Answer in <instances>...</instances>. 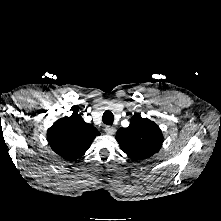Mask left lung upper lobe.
<instances>
[{"instance_id": "obj_1", "label": "left lung upper lobe", "mask_w": 221, "mask_h": 221, "mask_svg": "<svg viewBox=\"0 0 221 221\" xmlns=\"http://www.w3.org/2000/svg\"><path fill=\"white\" fill-rule=\"evenodd\" d=\"M116 139L121 149L133 160H141L157 153L163 135L157 124L139 114H134L128 128H120Z\"/></svg>"}]
</instances>
